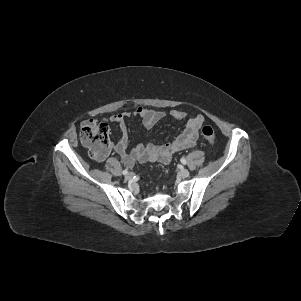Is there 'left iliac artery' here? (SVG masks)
Wrapping results in <instances>:
<instances>
[{
	"label": "left iliac artery",
	"instance_id": "obj_1",
	"mask_svg": "<svg viewBox=\"0 0 301 301\" xmlns=\"http://www.w3.org/2000/svg\"><path fill=\"white\" fill-rule=\"evenodd\" d=\"M180 161H181V163L184 164V165L187 163L185 158H181Z\"/></svg>",
	"mask_w": 301,
	"mask_h": 301
}]
</instances>
